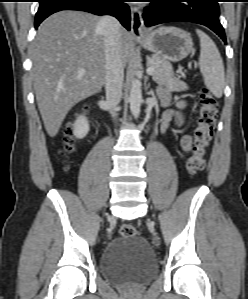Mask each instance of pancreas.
I'll return each mask as SVG.
<instances>
[{
  "instance_id": "1",
  "label": "pancreas",
  "mask_w": 248,
  "mask_h": 299,
  "mask_svg": "<svg viewBox=\"0 0 248 299\" xmlns=\"http://www.w3.org/2000/svg\"><path fill=\"white\" fill-rule=\"evenodd\" d=\"M149 66L154 68L152 79L159 85L166 86L171 91H184L188 89L186 83L175 77L172 65L164 58L153 55Z\"/></svg>"
}]
</instances>
